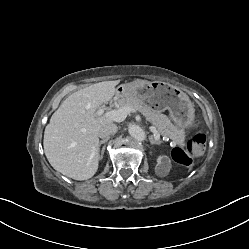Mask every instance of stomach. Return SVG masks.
<instances>
[{
    "label": "stomach",
    "mask_w": 249,
    "mask_h": 249,
    "mask_svg": "<svg viewBox=\"0 0 249 249\" xmlns=\"http://www.w3.org/2000/svg\"><path fill=\"white\" fill-rule=\"evenodd\" d=\"M121 96L133 97L157 112L169 111L171 119L181 128H187L194 120V106L186 93L179 88L159 81L132 82L117 86Z\"/></svg>",
    "instance_id": "obj_1"
}]
</instances>
